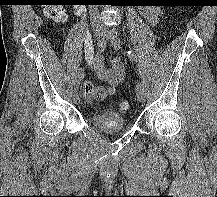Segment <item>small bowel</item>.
I'll return each mask as SVG.
<instances>
[{
	"label": "small bowel",
	"instance_id": "1",
	"mask_svg": "<svg viewBox=\"0 0 217 197\" xmlns=\"http://www.w3.org/2000/svg\"><path fill=\"white\" fill-rule=\"evenodd\" d=\"M145 17L149 23L155 24L158 20V13L151 9L146 10ZM103 51H104V46L99 45L98 50L94 54L93 61H92L93 67L99 79L108 84L107 88L101 87L105 92V96L102 99L106 98L108 95H113L116 93L118 85L122 83L126 74L125 65L122 59L118 56L105 57L103 55ZM106 60L110 63L111 65L110 68L105 67ZM88 96L92 98V96L90 95Z\"/></svg>",
	"mask_w": 217,
	"mask_h": 197
}]
</instances>
